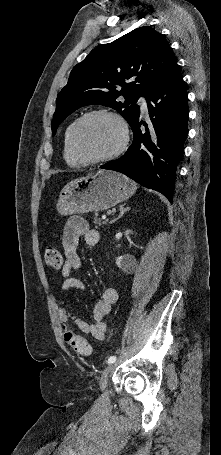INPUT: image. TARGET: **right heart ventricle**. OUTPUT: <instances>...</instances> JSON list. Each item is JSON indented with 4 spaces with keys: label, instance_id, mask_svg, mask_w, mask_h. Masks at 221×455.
Returning a JSON list of instances; mask_svg holds the SVG:
<instances>
[{
    "label": "right heart ventricle",
    "instance_id": "right-heart-ventricle-1",
    "mask_svg": "<svg viewBox=\"0 0 221 455\" xmlns=\"http://www.w3.org/2000/svg\"><path fill=\"white\" fill-rule=\"evenodd\" d=\"M73 124H74V122L69 124L68 127L65 130V133H64L63 155H64V158H65L66 162L70 166H72V167H80L84 163L78 157H76V155L74 154V152L72 150V147H71V141H70L71 129H72Z\"/></svg>",
    "mask_w": 221,
    "mask_h": 455
}]
</instances>
